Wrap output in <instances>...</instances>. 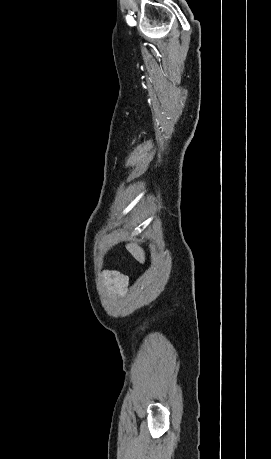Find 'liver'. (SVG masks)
I'll use <instances>...</instances> for the list:
<instances>
[{"mask_svg": "<svg viewBox=\"0 0 271 459\" xmlns=\"http://www.w3.org/2000/svg\"><path fill=\"white\" fill-rule=\"evenodd\" d=\"M126 247L128 251L132 253L133 257H135V259H138L140 263H144L145 253H144V249H142L140 245H137V243H127Z\"/></svg>", "mask_w": 271, "mask_h": 459, "instance_id": "1", "label": "liver"}]
</instances>
